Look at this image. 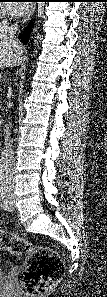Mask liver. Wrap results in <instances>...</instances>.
Segmentation results:
<instances>
[{
    "label": "liver",
    "mask_w": 107,
    "mask_h": 297,
    "mask_svg": "<svg viewBox=\"0 0 107 297\" xmlns=\"http://www.w3.org/2000/svg\"><path fill=\"white\" fill-rule=\"evenodd\" d=\"M23 58V46L17 41L11 42L0 36V67H14L20 64Z\"/></svg>",
    "instance_id": "liver-1"
}]
</instances>
